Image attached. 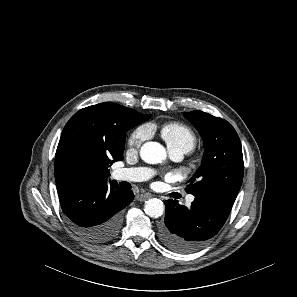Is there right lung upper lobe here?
Returning a JSON list of instances; mask_svg holds the SVG:
<instances>
[{"mask_svg":"<svg viewBox=\"0 0 297 297\" xmlns=\"http://www.w3.org/2000/svg\"><path fill=\"white\" fill-rule=\"evenodd\" d=\"M149 115L109 102L75 113L65 125L56 150L58 190L85 176L107 180L108 167L123 159L129 118Z\"/></svg>","mask_w":297,"mask_h":297,"instance_id":"1","label":"right lung upper lobe"}]
</instances>
